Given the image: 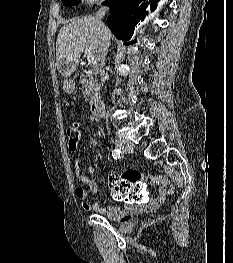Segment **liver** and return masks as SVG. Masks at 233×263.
<instances>
[{"instance_id": "6515ba94", "label": "liver", "mask_w": 233, "mask_h": 263, "mask_svg": "<svg viewBox=\"0 0 233 263\" xmlns=\"http://www.w3.org/2000/svg\"><path fill=\"white\" fill-rule=\"evenodd\" d=\"M111 36V31L106 27L108 41ZM98 48L99 32L94 17L85 16L63 26L56 41V66L59 72L69 77L76 69L81 54L96 55Z\"/></svg>"}]
</instances>
